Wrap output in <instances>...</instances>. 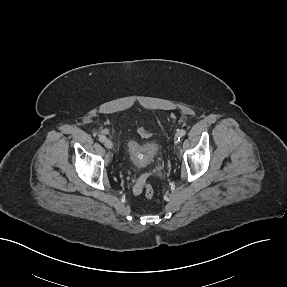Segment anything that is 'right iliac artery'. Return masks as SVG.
I'll list each match as a JSON object with an SVG mask.
<instances>
[{
    "label": "right iliac artery",
    "instance_id": "82829eb1",
    "mask_svg": "<svg viewBox=\"0 0 287 287\" xmlns=\"http://www.w3.org/2000/svg\"><path fill=\"white\" fill-rule=\"evenodd\" d=\"M99 140H100L101 142H104V141L106 140V137L103 136V135H99Z\"/></svg>",
    "mask_w": 287,
    "mask_h": 287
}]
</instances>
